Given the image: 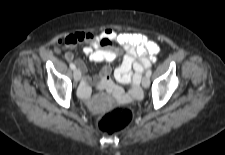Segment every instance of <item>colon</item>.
<instances>
[{
    "label": "colon",
    "mask_w": 225,
    "mask_h": 155,
    "mask_svg": "<svg viewBox=\"0 0 225 155\" xmlns=\"http://www.w3.org/2000/svg\"><path fill=\"white\" fill-rule=\"evenodd\" d=\"M133 120V112L129 108H117L100 116L98 128L107 134H113L127 128Z\"/></svg>",
    "instance_id": "5ec220e1"
}]
</instances>
